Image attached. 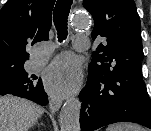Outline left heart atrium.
<instances>
[{
  "mask_svg": "<svg viewBox=\"0 0 151 131\" xmlns=\"http://www.w3.org/2000/svg\"><path fill=\"white\" fill-rule=\"evenodd\" d=\"M81 71L69 55H63L55 60L47 69L44 81L47 90L56 97L73 92L79 85Z\"/></svg>",
  "mask_w": 151,
  "mask_h": 131,
  "instance_id": "39dd6f15",
  "label": "left heart atrium"
}]
</instances>
